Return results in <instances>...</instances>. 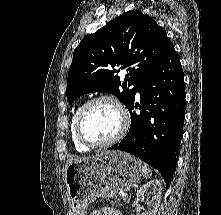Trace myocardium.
<instances>
[{"mask_svg": "<svg viewBox=\"0 0 221 215\" xmlns=\"http://www.w3.org/2000/svg\"><path fill=\"white\" fill-rule=\"evenodd\" d=\"M100 101H108V102H111L113 105H115L121 117V126L118 132L112 138L105 140V141H93L87 138L85 134L83 133L82 123H83V118L88 108L91 105ZM129 123L130 121H129L128 114L124 106L120 103L118 99H116L115 97L111 95H99V96L89 99L78 109L76 117H75V134H76L78 141L87 147H90V148L106 147V146H110L118 142L120 139L124 137V135L128 131Z\"/></svg>", "mask_w": 221, "mask_h": 215, "instance_id": "f54148a6", "label": "myocardium"}]
</instances>
